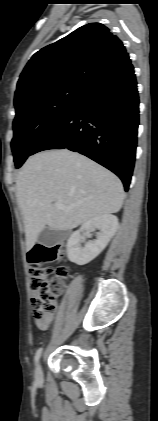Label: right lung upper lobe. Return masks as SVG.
Listing matches in <instances>:
<instances>
[{"label": "right lung upper lobe", "instance_id": "cb5924a9", "mask_svg": "<svg viewBox=\"0 0 158 421\" xmlns=\"http://www.w3.org/2000/svg\"><path fill=\"white\" fill-rule=\"evenodd\" d=\"M119 38L103 24L89 23L35 53L17 83L14 104L34 93L85 84L124 55Z\"/></svg>", "mask_w": 158, "mask_h": 421}]
</instances>
